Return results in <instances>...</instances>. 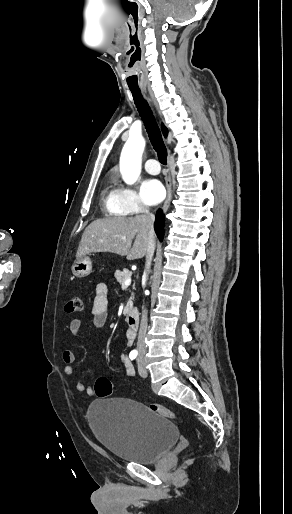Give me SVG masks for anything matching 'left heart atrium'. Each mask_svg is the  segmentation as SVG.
Wrapping results in <instances>:
<instances>
[{"mask_svg":"<svg viewBox=\"0 0 292 514\" xmlns=\"http://www.w3.org/2000/svg\"><path fill=\"white\" fill-rule=\"evenodd\" d=\"M142 194L147 203L153 205L164 198L165 189L158 180L153 179L144 183Z\"/></svg>","mask_w":292,"mask_h":514,"instance_id":"39dd6f15","label":"left heart atrium"}]
</instances>
